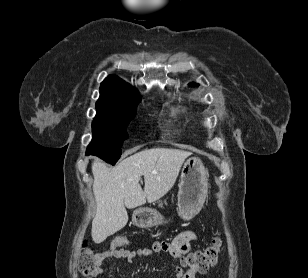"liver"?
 Segmentation results:
<instances>
[{
  "label": "liver",
  "instance_id": "1",
  "mask_svg": "<svg viewBox=\"0 0 308 278\" xmlns=\"http://www.w3.org/2000/svg\"><path fill=\"white\" fill-rule=\"evenodd\" d=\"M191 152L152 148L137 152L109 168L100 159L92 163L93 193L97 211L92 221V239L103 242L128 222L127 208L155 202L173 187L184 160ZM152 172H155L153 174ZM144 176V189L139 181Z\"/></svg>",
  "mask_w": 308,
  "mask_h": 278
}]
</instances>
